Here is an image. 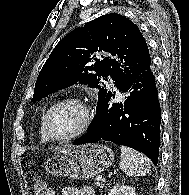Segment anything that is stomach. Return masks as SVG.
<instances>
[{
	"instance_id": "0dacf381",
	"label": "stomach",
	"mask_w": 189,
	"mask_h": 195,
	"mask_svg": "<svg viewBox=\"0 0 189 195\" xmlns=\"http://www.w3.org/2000/svg\"><path fill=\"white\" fill-rule=\"evenodd\" d=\"M114 161L113 151L102 144L66 147L45 161L51 175L70 179H88L108 168Z\"/></svg>"
}]
</instances>
